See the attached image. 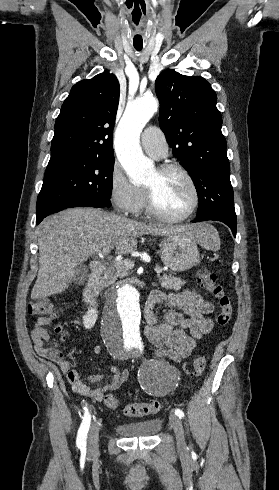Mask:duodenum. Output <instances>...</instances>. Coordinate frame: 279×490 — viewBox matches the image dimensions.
Segmentation results:
<instances>
[{
    "label": "duodenum",
    "instance_id": "duodenum-1",
    "mask_svg": "<svg viewBox=\"0 0 279 490\" xmlns=\"http://www.w3.org/2000/svg\"><path fill=\"white\" fill-rule=\"evenodd\" d=\"M91 274L83 289V299L85 303L94 308L97 305V282L104 271V266L99 261H93L90 265ZM129 283L137 284L138 281L130 280Z\"/></svg>",
    "mask_w": 279,
    "mask_h": 490
}]
</instances>
